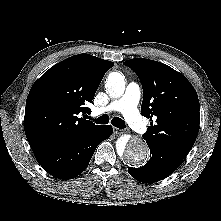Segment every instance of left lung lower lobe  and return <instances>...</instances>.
I'll return each instance as SVG.
<instances>
[{"mask_svg": "<svg viewBox=\"0 0 221 221\" xmlns=\"http://www.w3.org/2000/svg\"><path fill=\"white\" fill-rule=\"evenodd\" d=\"M148 146L150 160L140 168H128L130 175L140 182L154 183L163 180L173 173L184 160V157L163 147L153 144H148Z\"/></svg>", "mask_w": 221, "mask_h": 221, "instance_id": "0a47b994", "label": "left lung lower lobe"}]
</instances>
